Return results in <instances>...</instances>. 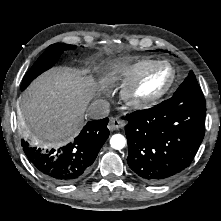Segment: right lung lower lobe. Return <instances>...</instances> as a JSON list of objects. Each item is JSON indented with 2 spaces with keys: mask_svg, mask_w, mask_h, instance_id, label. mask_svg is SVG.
I'll list each match as a JSON object with an SVG mask.
<instances>
[{
  "mask_svg": "<svg viewBox=\"0 0 221 221\" xmlns=\"http://www.w3.org/2000/svg\"><path fill=\"white\" fill-rule=\"evenodd\" d=\"M108 120L88 122L73 143L56 150L31 146L24 139L21 145L28 160L43 176L60 184L73 183L89 173L109 136Z\"/></svg>",
  "mask_w": 221,
  "mask_h": 221,
  "instance_id": "1",
  "label": "right lung lower lobe"
}]
</instances>
